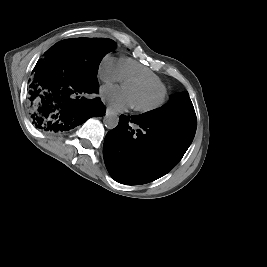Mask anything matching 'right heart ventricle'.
I'll list each match as a JSON object with an SVG mask.
<instances>
[{
    "instance_id": "1",
    "label": "right heart ventricle",
    "mask_w": 267,
    "mask_h": 267,
    "mask_svg": "<svg viewBox=\"0 0 267 267\" xmlns=\"http://www.w3.org/2000/svg\"><path fill=\"white\" fill-rule=\"evenodd\" d=\"M120 64L122 76L124 79L127 80L131 77H140L152 83L159 84L163 87V89H165V85L162 79L150 68L130 58H122L120 60Z\"/></svg>"
}]
</instances>
